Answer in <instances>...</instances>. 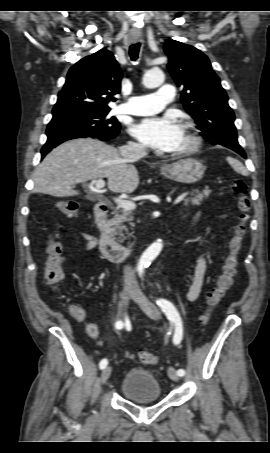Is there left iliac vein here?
<instances>
[{
    "mask_svg": "<svg viewBox=\"0 0 270 453\" xmlns=\"http://www.w3.org/2000/svg\"><path fill=\"white\" fill-rule=\"evenodd\" d=\"M130 294L133 300L138 303V305L150 318L154 320H159L161 318V313L158 308L147 299V297L142 293L135 282H133L131 285ZM168 376L173 381L179 380V375L173 367L168 368Z\"/></svg>",
    "mask_w": 270,
    "mask_h": 453,
    "instance_id": "obj_1",
    "label": "left iliac vein"
}]
</instances>
